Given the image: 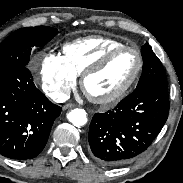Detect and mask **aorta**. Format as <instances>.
<instances>
[{"mask_svg": "<svg viewBox=\"0 0 183 183\" xmlns=\"http://www.w3.org/2000/svg\"><path fill=\"white\" fill-rule=\"evenodd\" d=\"M68 121L76 127L84 126L87 123V114L84 109H73L67 114Z\"/></svg>", "mask_w": 183, "mask_h": 183, "instance_id": "obj_1", "label": "aorta"}]
</instances>
